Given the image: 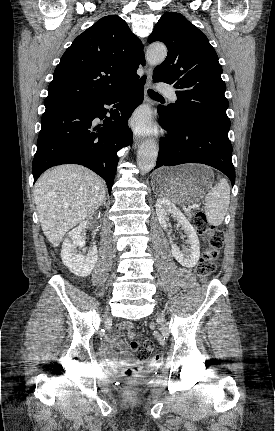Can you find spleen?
Returning a JSON list of instances; mask_svg holds the SVG:
<instances>
[{
    "mask_svg": "<svg viewBox=\"0 0 275 431\" xmlns=\"http://www.w3.org/2000/svg\"><path fill=\"white\" fill-rule=\"evenodd\" d=\"M230 203V187L225 179H220L205 195V215L211 225L222 224Z\"/></svg>",
    "mask_w": 275,
    "mask_h": 431,
    "instance_id": "1",
    "label": "spleen"
}]
</instances>
